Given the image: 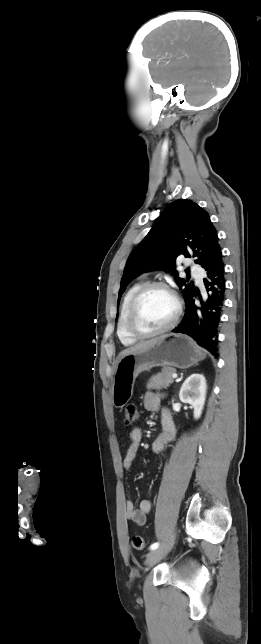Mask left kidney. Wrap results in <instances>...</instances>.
Segmentation results:
<instances>
[{
    "instance_id": "5707ae66",
    "label": "left kidney",
    "mask_w": 261,
    "mask_h": 644,
    "mask_svg": "<svg viewBox=\"0 0 261 644\" xmlns=\"http://www.w3.org/2000/svg\"><path fill=\"white\" fill-rule=\"evenodd\" d=\"M206 379L202 374H192L181 386L179 398L194 408V418L199 419L206 399Z\"/></svg>"
}]
</instances>
